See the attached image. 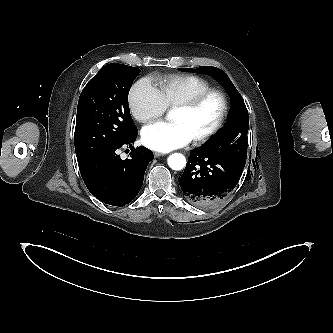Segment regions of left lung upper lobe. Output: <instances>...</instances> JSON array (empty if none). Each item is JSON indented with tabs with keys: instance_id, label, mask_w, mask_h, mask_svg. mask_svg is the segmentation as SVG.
Listing matches in <instances>:
<instances>
[{
	"instance_id": "5c2ea615",
	"label": "left lung upper lobe",
	"mask_w": 333,
	"mask_h": 333,
	"mask_svg": "<svg viewBox=\"0 0 333 333\" xmlns=\"http://www.w3.org/2000/svg\"><path fill=\"white\" fill-rule=\"evenodd\" d=\"M181 70L205 73L219 81L231 98V108L228 113V126L204 148L224 157L244 169L247 158L248 111L243 98L236 90L229 77L220 69L211 66H201L197 69L179 68Z\"/></svg>"
}]
</instances>
